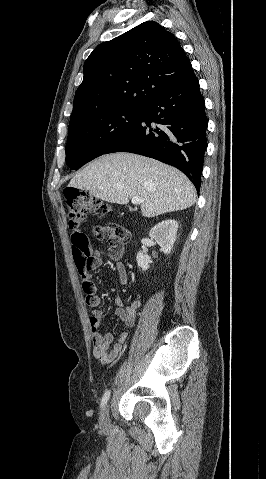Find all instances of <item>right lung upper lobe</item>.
<instances>
[{
  "label": "right lung upper lobe",
  "mask_w": 266,
  "mask_h": 479,
  "mask_svg": "<svg viewBox=\"0 0 266 479\" xmlns=\"http://www.w3.org/2000/svg\"><path fill=\"white\" fill-rule=\"evenodd\" d=\"M71 119L121 108H138L163 89L194 74L178 40L146 21L98 45L84 63Z\"/></svg>",
  "instance_id": "1"
}]
</instances>
